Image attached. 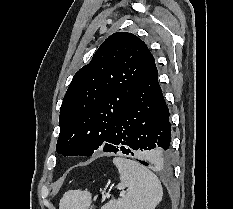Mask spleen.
Segmentation results:
<instances>
[{
  "label": "spleen",
  "instance_id": "spleen-1",
  "mask_svg": "<svg viewBox=\"0 0 233 209\" xmlns=\"http://www.w3.org/2000/svg\"><path fill=\"white\" fill-rule=\"evenodd\" d=\"M120 174L117 188L127 193L118 200H110L101 209H155L163 196L162 185L157 176L145 166L125 158H114ZM87 190H69L59 202V209H87L91 203Z\"/></svg>",
  "mask_w": 233,
  "mask_h": 209
}]
</instances>
